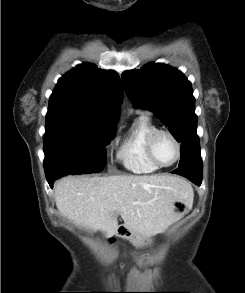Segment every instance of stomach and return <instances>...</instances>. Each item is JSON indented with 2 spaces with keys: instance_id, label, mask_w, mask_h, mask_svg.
<instances>
[{
  "instance_id": "obj_1",
  "label": "stomach",
  "mask_w": 245,
  "mask_h": 293,
  "mask_svg": "<svg viewBox=\"0 0 245 293\" xmlns=\"http://www.w3.org/2000/svg\"><path fill=\"white\" fill-rule=\"evenodd\" d=\"M187 205L184 201H175L174 202V210L176 214H184L187 211ZM125 238H128L134 246L141 247L146 246L150 243V238L141 236L137 233L130 232V234L124 233V231H120Z\"/></svg>"
}]
</instances>
